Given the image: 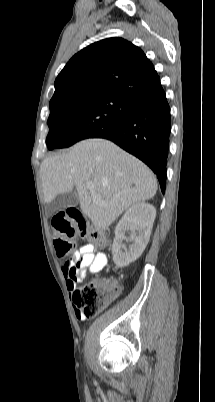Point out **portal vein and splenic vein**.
Masks as SVG:
<instances>
[{"label":"portal vein and splenic vein","mask_w":215,"mask_h":402,"mask_svg":"<svg viewBox=\"0 0 215 402\" xmlns=\"http://www.w3.org/2000/svg\"><path fill=\"white\" fill-rule=\"evenodd\" d=\"M86 187H87V189L89 190V192L91 193L93 199H94V200H97L98 198H97V196H96V194H95V192H94V186H93V184L87 183V184H86Z\"/></svg>","instance_id":"obj_1"}]
</instances>
